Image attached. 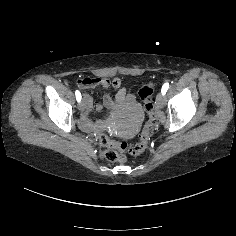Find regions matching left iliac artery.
Segmentation results:
<instances>
[{
	"instance_id": "obj_1",
	"label": "left iliac artery",
	"mask_w": 236,
	"mask_h": 236,
	"mask_svg": "<svg viewBox=\"0 0 236 236\" xmlns=\"http://www.w3.org/2000/svg\"><path fill=\"white\" fill-rule=\"evenodd\" d=\"M168 88H169V83L163 84L162 89H161V92H162L163 95H165V93L167 92Z\"/></svg>"
}]
</instances>
